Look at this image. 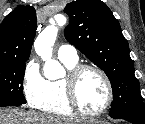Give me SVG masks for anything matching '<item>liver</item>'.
<instances>
[{"mask_svg": "<svg viewBox=\"0 0 145 124\" xmlns=\"http://www.w3.org/2000/svg\"><path fill=\"white\" fill-rule=\"evenodd\" d=\"M0 124H80V121L21 109H0Z\"/></svg>", "mask_w": 145, "mask_h": 124, "instance_id": "1", "label": "liver"}]
</instances>
